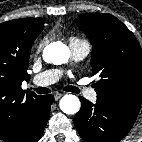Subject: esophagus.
<instances>
[{
    "instance_id": "34e87169",
    "label": "esophagus",
    "mask_w": 142,
    "mask_h": 142,
    "mask_svg": "<svg viewBox=\"0 0 142 142\" xmlns=\"http://www.w3.org/2000/svg\"><path fill=\"white\" fill-rule=\"evenodd\" d=\"M62 96H63L62 93L57 92V93H55V95H54V99H55L56 101H58Z\"/></svg>"
}]
</instances>
